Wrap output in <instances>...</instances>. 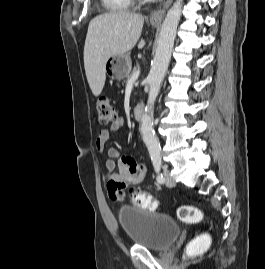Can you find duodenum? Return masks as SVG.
Listing matches in <instances>:
<instances>
[{
	"label": "duodenum",
	"mask_w": 265,
	"mask_h": 269,
	"mask_svg": "<svg viewBox=\"0 0 265 269\" xmlns=\"http://www.w3.org/2000/svg\"><path fill=\"white\" fill-rule=\"evenodd\" d=\"M143 113H144V105L143 104H138L135 108H134V112H133V116L136 120H141L143 117Z\"/></svg>",
	"instance_id": "duodenum-1"
}]
</instances>
